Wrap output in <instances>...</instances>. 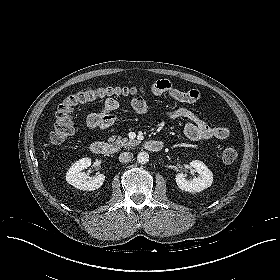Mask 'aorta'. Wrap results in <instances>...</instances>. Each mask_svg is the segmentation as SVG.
I'll return each instance as SVG.
<instances>
[{"instance_id": "obj_1", "label": "aorta", "mask_w": 280, "mask_h": 280, "mask_svg": "<svg viewBox=\"0 0 280 280\" xmlns=\"http://www.w3.org/2000/svg\"><path fill=\"white\" fill-rule=\"evenodd\" d=\"M137 161L140 164H146L149 161V154L147 152H139L137 155Z\"/></svg>"}]
</instances>
